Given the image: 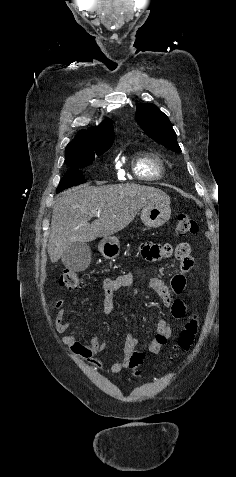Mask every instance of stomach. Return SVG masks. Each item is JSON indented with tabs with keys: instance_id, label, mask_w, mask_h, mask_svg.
Wrapping results in <instances>:
<instances>
[{
	"instance_id": "1",
	"label": "stomach",
	"mask_w": 236,
	"mask_h": 477,
	"mask_svg": "<svg viewBox=\"0 0 236 477\" xmlns=\"http://www.w3.org/2000/svg\"><path fill=\"white\" fill-rule=\"evenodd\" d=\"M171 216L169 204L158 202L151 203L143 207L140 217L143 224L148 228H158L165 224ZM98 249L107 259H114L119 256L121 245L115 236L104 237L100 240Z\"/></svg>"
}]
</instances>
